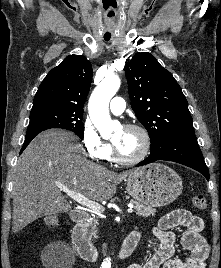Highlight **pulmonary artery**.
I'll return each instance as SVG.
<instances>
[{"instance_id": "pulmonary-artery-1", "label": "pulmonary artery", "mask_w": 221, "mask_h": 268, "mask_svg": "<svg viewBox=\"0 0 221 268\" xmlns=\"http://www.w3.org/2000/svg\"><path fill=\"white\" fill-rule=\"evenodd\" d=\"M125 110V101L121 97H114L110 102V111L114 115H120Z\"/></svg>"}]
</instances>
